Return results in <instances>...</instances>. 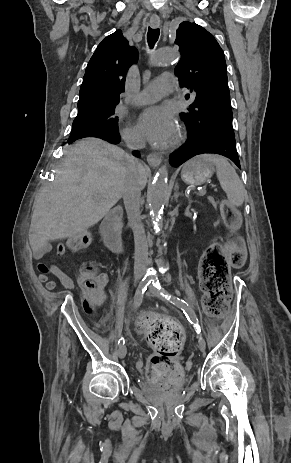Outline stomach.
Instances as JSON below:
<instances>
[{
	"mask_svg": "<svg viewBox=\"0 0 291 463\" xmlns=\"http://www.w3.org/2000/svg\"><path fill=\"white\" fill-rule=\"evenodd\" d=\"M214 173L212 162L200 156L188 161L182 168L181 178L189 185H201L208 181Z\"/></svg>",
	"mask_w": 291,
	"mask_h": 463,
	"instance_id": "stomach-1",
	"label": "stomach"
}]
</instances>
